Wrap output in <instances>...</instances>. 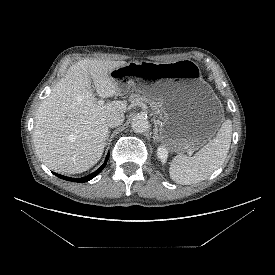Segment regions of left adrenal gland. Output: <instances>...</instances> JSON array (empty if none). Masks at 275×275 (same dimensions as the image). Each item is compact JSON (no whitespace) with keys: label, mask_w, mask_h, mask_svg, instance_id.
Instances as JSON below:
<instances>
[{"label":"left adrenal gland","mask_w":275,"mask_h":275,"mask_svg":"<svg viewBox=\"0 0 275 275\" xmlns=\"http://www.w3.org/2000/svg\"><path fill=\"white\" fill-rule=\"evenodd\" d=\"M153 139H154L155 141H158V140H159L157 121H156L155 118H154V136H153Z\"/></svg>","instance_id":"left-adrenal-gland-1"}]
</instances>
